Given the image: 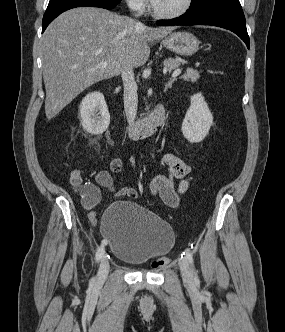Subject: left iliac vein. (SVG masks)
<instances>
[{
    "label": "left iliac vein",
    "mask_w": 285,
    "mask_h": 332,
    "mask_svg": "<svg viewBox=\"0 0 285 332\" xmlns=\"http://www.w3.org/2000/svg\"><path fill=\"white\" fill-rule=\"evenodd\" d=\"M179 267L181 270L182 278L185 284L192 285L194 282L191 268L188 260L184 257L179 259Z\"/></svg>",
    "instance_id": "4c4485c4"
}]
</instances>
